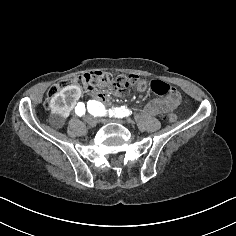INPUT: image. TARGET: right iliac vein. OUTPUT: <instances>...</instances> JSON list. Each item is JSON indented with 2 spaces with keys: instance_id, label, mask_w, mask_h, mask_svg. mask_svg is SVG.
I'll use <instances>...</instances> for the list:
<instances>
[{
  "instance_id": "1",
  "label": "right iliac vein",
  "mask_w": 236,
  "mask_h": 236,
  "mask_svg": "<svg viewBox=\"0 0 236 236\" xmlns=\"http://www.w3.org/2000/svg\"><path fill=\"white\" fill-rule=\"evenodd\" d=\"M85 123H86L87 126L92 127V126L95 125L96 120H95L94 117L89 116V117L86 118Z\"/></svg>"
}]
</instances>
